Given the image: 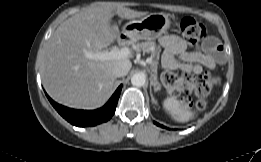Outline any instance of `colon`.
Here are the masks:
<instances>
[{
	"instance_id": "5ec220e1",
	"label": "colon",
	"mask_w": 261,
	"mask_h": 162,
	"mask_svg": "<svg viewBox=\"0 0 261 162\" xmlns=\"http://www.w3.org/2000/svg\"><path fill=\"white\" fill-rule=\"evenodd\" d=\"M179 29L183 38L190 44H195L204 39L207 34L206 27L191 17L181 19ZM219 77L211 72L201 75L176 74L166 72L162 81L168 94L179 96L180 94L194 95L195 102L190 97L184 99V103L198 110L207 107L205 98L210 94L212 88L219 83Z\"/></svg>"
}]
</instances>
